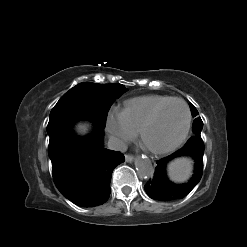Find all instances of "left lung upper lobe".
Segmentation results:
<instances>
[{"label":"left lung upper lobe","instance_id":"left-lung-upper-lobe-1","mask_svg":"<svg viewBox=\"0 0 247 247\" xmlns=\"http://www.w3.org/2000/svg\"><path fill=\"white\" fill-rule=\"evenodd\" d=\"M190 108H191V112L193 117H196V119L193 122V131H194V136H201L200 133L202 131L203 128V122L201 120V118L197 117L198 115V111L195 108V106L193 104H190Z\"/></svg>","mask_w":247,"mask_h":247}]
</instances>
